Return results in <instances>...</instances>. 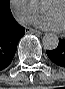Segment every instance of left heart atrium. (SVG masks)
Returning <instances> with one entry per match:
<instances>
[{"label":"left heart atrium","mask_w":65,"mask_h":89,"mask_svg":"<svg viewBox=\"0 0 65 89\" xmlns=\"http://www.w3.org/2000/svg\"><path fill=\"white\" fill-rule=\"evenodd\" d=\"M35 26L44 29L59 32L64 27L62 22L56 16H42L34 21Z\"/></svg>","instance_id":"obj_1"}]
</instances>
